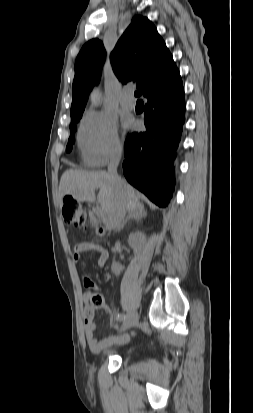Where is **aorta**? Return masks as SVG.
<instances>
[{
  "mask_svg": "<svg viewBox=\"0 0 253 413\" xmlns=\"http://www.w3.org/2000/svg\"><path fill=\"white\" fill-rule=\"evenodd\" d=\"M100 97H101V93L99 91L95 92L92 95L91 103H92L93 106H99L100 105Z\"/></svg>",
  "mask_w": 253,
  "mask_h": 413,
  "instance_id": "762f6f07",
  "label": "aorta"
}]
</instances>
